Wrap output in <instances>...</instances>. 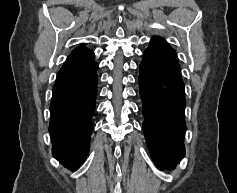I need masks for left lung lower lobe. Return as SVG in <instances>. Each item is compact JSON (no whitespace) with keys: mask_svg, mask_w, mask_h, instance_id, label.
Segmentation results:
<instances>
[{"mask_svg":"<svg viewBox=\"0 0 237 193\" xmlns=\"http://www.w3.org/2000/svg\"><path fill=\"white\" fill-rule=\"evenodd\" d=\"M139 68L144 135L157 167L168 169L185 155V89L176 52L152 38Z\"/></svg>","mask_w":237,"mask_h":193,"instance_id":"1","label":"left lung lower lobe"}]
</instances>
